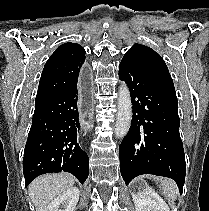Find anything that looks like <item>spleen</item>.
Listing matches in <instances>:
<instances>
[{"label":"spleen","instance_id":"obj_1","mask_svg":"<svg viewBox=\"0 0 209 211\" xmlns=\"http://www.w3.org/2000/svg\"><path fill=\"white\" fill-rule=\"evenodd\" d=\"M163 195L170 199L175 200L178 194V187L171 179H163L161 182Z\"/></svg>","mask_w":209,"mask_h":211}]
</instances>
